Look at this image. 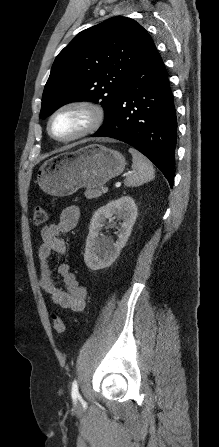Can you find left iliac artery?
Listing matches in <instances>:
<instances>
[{
  "label": "left iliac artery",
  "mask_w": 219,
  "mask_h": 447,
  "mask_svg": "<svg viewBox=\"0 0 219 447\" xmlns=\"http://www.w3.org/2000/svg\"><path fill=\"white\" fill-rule=\"evenodd\" d=\"M71 395L74 400H76L80 396L76 380H74V382L72 383Z\"/></svg>",
  "instance_id": "44dca946"
}]
</instances>
